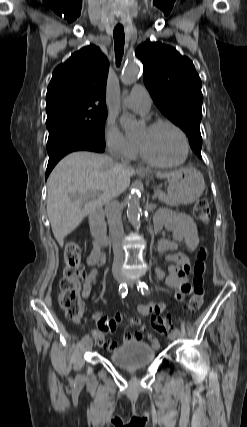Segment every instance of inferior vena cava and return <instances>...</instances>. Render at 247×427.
<instances>
[{"label": "inferior vena cava", "mask_w": 247, "mask_h": 427, "mask_svg": "<svg viewBox=\"0 0 247 427\" xmlns=\"http://www.w3.org/2000/svg\"><path fill=\"white\" fill-rule=\"evenodd\" d=\"M105 214L109 224V232L114 253L112 271L116 274L121 270L124 262V252L121 247L124 230L121 219V208L117 200L109 199L105 201Z\"/></svg>", "instance_id": "1"}]
</instances>
